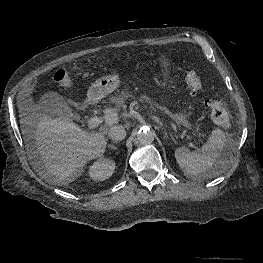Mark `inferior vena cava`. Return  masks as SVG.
<instances>
[{"label": "inferior vena cava", "mask_w": 263, "mask_h": 263, "mask_svg": "<svg viewBox=\"0 0 263 263\" xmlns=\"http://www.w3.org/2000/svg\"><path fill=\"white\" fill-rule=\"evenodd\" d=\"M126 136V130L121 125H115L110 129L109 137L114 141H121Z\"/></svg>", "instance_id": "1"}]
</instances>
